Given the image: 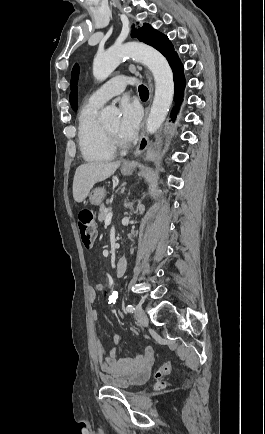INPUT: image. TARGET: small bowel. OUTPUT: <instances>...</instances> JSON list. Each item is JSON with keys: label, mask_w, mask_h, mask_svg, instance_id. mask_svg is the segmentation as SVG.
<instances>
[{"label": "small bowel", "mask_w": 265, "mask_h": 434, "mask_svg": "<svg viewBox=\"0 0 265 434\" xmlns=\"http://www.w3.org/2000/svg\"><path fill=\"white\" fill-rule=\"evenodd\" d=\"M103 289L102 283L89 287V301L94 302L97 293ZM117 313L120 315L122 312L119 310ZM98 317V312L93 310L91 318L97 321ZM115 341L121 344V339L115 338ZM117 355L118 349L107 351L101 338L98 335L94 336V358L102 371L101 377L109 387H118L120 384L123 386L142 384L151 377L148 369L154 358V350L151 346L145 347L143 354L137 357L119 359Z\"/></svg>", "instance_id": "small-bowel-1"}]
</instances>
